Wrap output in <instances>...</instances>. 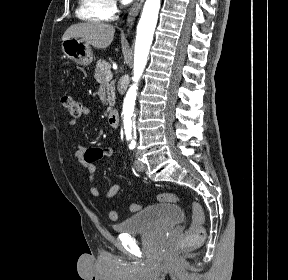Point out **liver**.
<instances>
[{
	"label": "liver",
	"mask_w": 288,
	"mask_h": 280,
	"mask_svg": "<svg viewBox=\"0 0 288 280\" xmlns=\"http://www.w3.org/2000/svg\"><path fill=\"white\" fill-rule=\"evenodd\" d=\"M115 28L100 22L78 23L71 25L64 33L62 40L75 38L92 45L97 49L108 47L113 41Z\"/></svg>",
	"instance_id": "liver-1"
}]
</instances>
